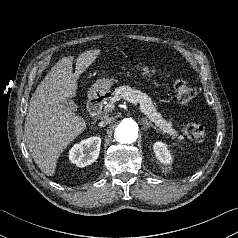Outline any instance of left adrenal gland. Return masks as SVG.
Listing matches in <instances>:
<instances>
[{
	"label": "left adrenal gland",
	"instance_id": "obj_1",
	"mask_svg": "<svg viewBox=\"0 0 238 238\" xmlns=\"http://www.w3.org/2000/svg\"><path fill=\"white\" fill-rule=\"evenodd\" d=\"M142 121H143V125L145 126L146 130L150 127H153L156 129V127L153 124L149 123L146 118H143Z\"/></svg>",
	"mask_w": 238,
	"mask_h": 238
}]
</instances>
